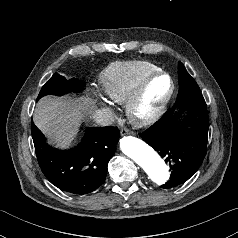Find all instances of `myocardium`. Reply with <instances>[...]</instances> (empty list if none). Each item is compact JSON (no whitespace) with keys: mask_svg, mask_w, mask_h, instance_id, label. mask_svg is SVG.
<instances>
[{"mask_svg":"<svg viewBox=\"0 0 238 238\" xmlns=\"http://www.w3.org/2000/svg\"><path fill=\"white\" fill-rule=\"evenodd\" d=\"M165 77L169 81V90L159 105V107L151 114L141 116L138 114V108L145 96V93L149 85L156 79ZM175 92V84L172 77L163 71H157L147 78H145L138 88L135 90L133 95L127 101L126 104V115L131 124L139 128H145L156 123L166 112Z\"/></svg>","mask_w":238,"mask_h":238,"instance_id":"1","label":"myocardium"}]
</instances>
